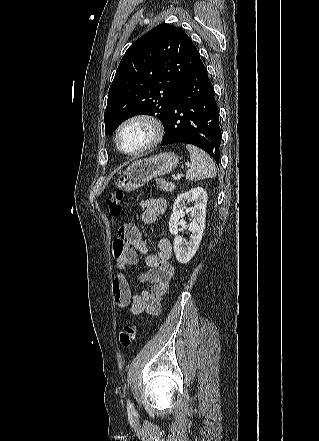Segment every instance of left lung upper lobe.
<instances>
[{"label": "left lung upper lobe", "instance_id": "obj_1", "mask_svg": "<svg viewBox=\"0 0 319 441\" xmlns=\"http://www.w3.org/2000/svg\"><path fill=\"white\" fill-rule=\"evenodd\" d=\"M200 61L180 27L161 24L143 35L127 49L110 86L105 133L138 114L156 115L165 128L180 85Z\"/></svg>", "mask_w": 319, "mask_h": 441}]
</instances>
